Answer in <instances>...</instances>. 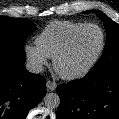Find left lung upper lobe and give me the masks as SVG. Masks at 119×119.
Returning a JSON list of instances; mask_svg holds the SVG:
<instances>
[{
    "instance_id": "1",
    "label": "left lung upper lobe",
    "mask_w": 119,
    "mask_h": 119,
    "mask_svg": "<svg viewBox=\"0 0 119 119\" xmlns=\"http://www.w3.org/2000/svg\"><path fill=\"white\" fill-rule=\"evenodd\" d=\"M94 12L103 21L106 28L107 37L104 52L91 72L103 73L112 67L119 65V24L111 20L103 12L97 10L86 11Z\"/></svg>"
}]
</instances>
